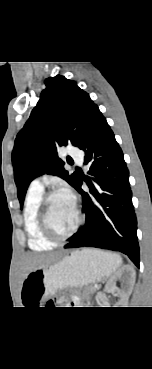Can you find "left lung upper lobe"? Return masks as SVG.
<instances>
[{"label":"left lung upper lobe","instance_id":"obj_1","mask_svg":"<svg viewBox=\"0 0 152 369\" xmlns=\"http://www.w3.org/2000/svg\"><path fill=\"white\" fill-rule=\"evenodd\" d=\"M46 89L16 136L12 152L14 179L21 207L30 182L47 172L72 187L78 179L58 158L59 146H78L98 106L75 81L57 75L45 80Z\"/></svg>","mask_w":152,"mask_h":369}]
</instances>
